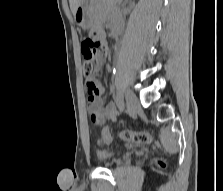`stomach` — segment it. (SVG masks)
I'll return each instance as SVG.
<instances>
[{"label": "stomach", "mask_w": 223, "mask_h": 191, "mask_svg": "<svg viewBox=\"0 0 223 191\" xmlns=\"http://www.w3.org/2000/svg\"><path fill=\"white\" fill-rule=\"evenodd\" d=\"M75 21L79 27L89 30L93 26V21L89 8V0H82L74 15Z\"/></svg>", "instance_id": "1"}]
</instances>
